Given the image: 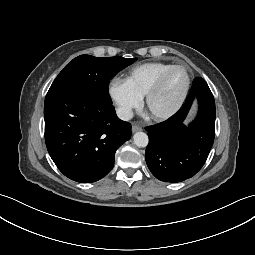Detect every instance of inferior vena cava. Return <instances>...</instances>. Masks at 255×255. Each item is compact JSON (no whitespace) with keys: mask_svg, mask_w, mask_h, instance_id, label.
<instances>
[{"mask_svg":"<svg viewBox=\"0 0 255 255\" xmlns=\"http://www.w3.org/2000/svg\"><path fill=\"white\" fill-rule=\"evenodd\" d=\"M116 114L119 119L123 121H128L133 117V112L130 109L127 108H118L116 110Z\"/></svg>","mask_w":255,"mask_h":255,"instance_id":"1","label":"inferior vena cava"}]
</instances>
